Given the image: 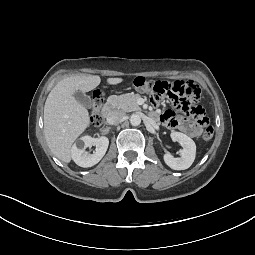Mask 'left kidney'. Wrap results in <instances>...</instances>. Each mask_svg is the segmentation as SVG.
I'll return each instance as SVG.
<instances>
[{
	"label": "left kidney",
	"mask_w": 255,
	"mask_h": 255,
	"mask_svg": "<svg viewBox=\"0 0 255 255\" xmlns=\"http://www.w3.org/2000/svg\"><path fill=\"white\" fill-rule=\"evenodd\" d=\"M174 142H179L183 147L181 157L175 158L170 153H165L163 158L165 163L174 170H185L189 168L195 160L196 145L195 142L187 135L181 132H172L170 134Z\"/></svg>",
	"instance_id": "5707ae66"
}]
</instances>
